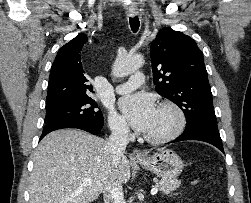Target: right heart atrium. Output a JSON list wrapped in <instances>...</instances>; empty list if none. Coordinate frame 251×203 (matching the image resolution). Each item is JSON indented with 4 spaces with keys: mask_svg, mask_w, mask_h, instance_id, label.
<instances>
[{
    "mask_svg": "<svg viewBox=\"0 0 251 203\" xmlns=\"http://www.w3.org/2000/svg\"><path fill=\"white\" fill-rule=\"evenodd\" d=\"M108 122L109 127L114 135L126 136L128 134L129 129L126 121L117 113L110 112Z\"/></svg>",
    "mask_w": 251,
    "mask_h": 203,
    "instance_id": "obj_1",
    "label": "right heart atrium"
}]
</instances>
